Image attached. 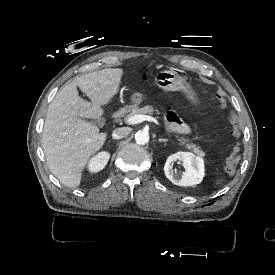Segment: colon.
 Returning a JSON list of instances; mask_svg holds the SVG:
<instances>
[{
    "mask_svg": "<svg viewBox=\"0 0 275 275\" xmlns=\"http://www.w3.org/2000/svg\"><path fill=\"white\" fill-rule=\"evenodd\" d=\"M218 106L220 108L227 107V100L222 93L217 94ZM229 120L232 124V135L236 140V145L233 147L232 153L228 156V158L224 162V169L227 174L233 175L236 171V167L240 160V144L239 138L241 135V124L235 115V113H229Z\"/></svg>",
    "mask_w": 275,
    "mask_h": 275,
    "instance_id": "5ec220e1",
    "label": "colon"
}]
</instances>
